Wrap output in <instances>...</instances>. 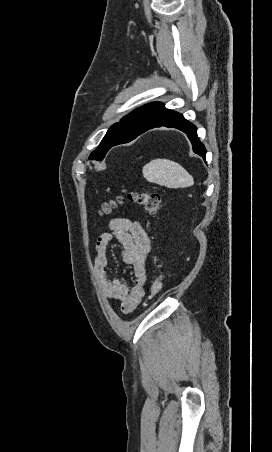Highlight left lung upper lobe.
<instances>
[{
	"label": "left lung upper lobe",
	"instance_id": "left-lung-upper-lobe-1",
	"mask_svg": "<svg viewBox=\"0 0 272 452\" xmlns=\"http://www.w3.org/2000/svg\"><path fill=\"white\" fill-rule=\"evenodd\" d=\"M163 108V103H150L123 117L120 122L109 128L97 149L90 154L89 159L102 160L109 149L113 147L115 141L131 138L144 132L151 126Z\"/></svg>",
	"mask_w": 272,
	"mask_h": 452
}]
</instances>
